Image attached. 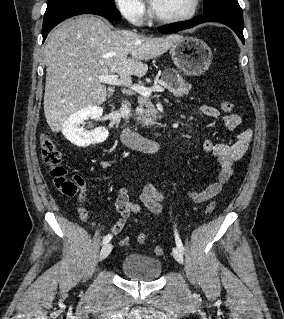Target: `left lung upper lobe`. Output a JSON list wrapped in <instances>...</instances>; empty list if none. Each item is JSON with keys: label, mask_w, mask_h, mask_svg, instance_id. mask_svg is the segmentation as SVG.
<instances>
[{"label": "left lung upper lobe", "mask_w": 284, "mask_h": 319, "mask_svg": "<svg viewBox=\"0 0 284 319\" xmlns=\"http://www.w3.org/2000/svg\"><path fill=\"white\" fill-rule=\"evenodd\" d=\"M220 10L242 11L237 0H204V13Z\"/></svg>", "instance_id": "obj_1"}]
</instances>
